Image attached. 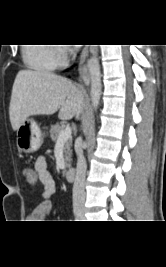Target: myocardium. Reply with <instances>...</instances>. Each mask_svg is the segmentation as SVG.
<instances>
[{"label": "myocardium", "instance_id": "myocardium-1", "mask_svg": "<svg viewBox=\"0 0 166 267\" xmlns=\"http://www.w3.org/2000/svg\"><path fill=\"white\" fill-rule=\"evenodd\" d=\"M56 55H57V58L59 59V61H63V58L58 55L57 51H56Z\"/></svg>", "mask_w": 166, "mask_h": 267}]
</instances>
